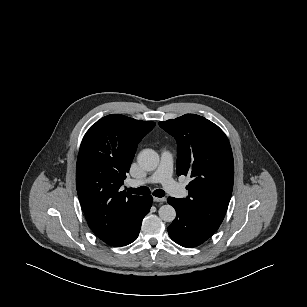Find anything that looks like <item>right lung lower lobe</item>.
Returning a JSON list of instances; mask_svg holds the SVG:
<instances>
[{
	"label": "right lung lower lobe",
	"instance_id": "right-lung-lower-lobe-1",
	"mask_svg": "<svg viewBox=\"0 0 307 307\" xmlns=\"http://www.w3.org/2000/svg\"><path fill=\"white\" fill-rule=\"evenodd\" d=\"M144 198H145V207H144L143 213H142L141 217L139 218L138 223H137L133 233L120 246L128 245V244L132 243L134 240H136V238L138 237V234H139V231H140V228H141V224H142V220L145 217V215L150 211V208H151V205H152V201H153L152 196H144Z\"/></svg>",
	"mask_w": 307,
	"mask_h": 307
}]
</instances>
